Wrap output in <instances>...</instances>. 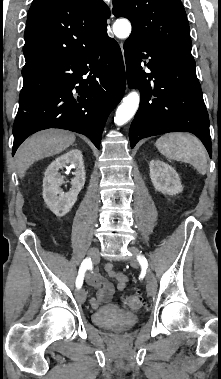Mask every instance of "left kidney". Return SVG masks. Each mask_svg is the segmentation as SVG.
Listing matches in <instances>:
<instances>
[{
  "instance_id": "left-kidney-1",
  "label": "left kidney",
  "mask_w": 221,
  "mask_h": 379,
  "mask_svg": "<svg viewBox=\"0 0 221 379\" xmlns=\"http://www.w3.org/2000/svg\"><path fill=\"white\" fill-rule=\"evenodd\" d=\"M149 167L150 178L156 190L168 195L182 192L179 175L173 167L160 160H152Z\"/></svg>"
}]
</instances>
